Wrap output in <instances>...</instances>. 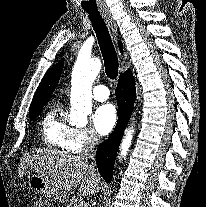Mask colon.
I'll use <instances>...</instances> for the list:
<instances>
[{
	"instance_id": "colon-1",
	"label": "colon",
	"mask_w": 206,
	"mask_h": 207,
	"mask_svg": "<svg viewBox=\"0 0 206 207\" xmlns=\"http://www.w3.org/2000/svg\"><path fill=\"white\" fill-rule=\"evenodd\" d=\"M35 207H48L43 199H37Z\"/></svg>"
}]
</instances>
